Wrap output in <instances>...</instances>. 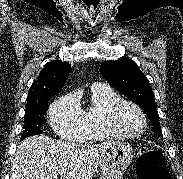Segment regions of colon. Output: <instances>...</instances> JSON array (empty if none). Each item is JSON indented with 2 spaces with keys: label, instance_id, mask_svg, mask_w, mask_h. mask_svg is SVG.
<instances>
[{
  "label": "colon",
  "instance_id": "5ec220e1",
  "mask_svg": "<svg viewBox=\"0 0 183 179\" xmlns=\"http://www.w3.org/2000/svg\"><path fill=\"white\" fill-rule=\"evenodd\" d=\"M138 179H170L162 154L154 149H141L135 164Z\"/></svg>",
  "mask_w": 183,
  "mask_h": 179
}]
</instances>
